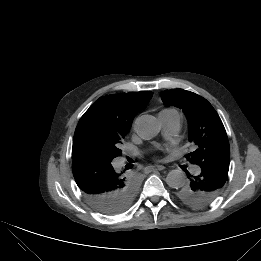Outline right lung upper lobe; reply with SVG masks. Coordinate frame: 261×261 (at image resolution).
<instances>
[{"label": "right lung upper lobe", "instance_id": "cb5924a9", "mask_svg": "<svg viewBox=\"0 0 261 261\" xmlns=\"http://www.w3.org/2000/svg\"><path fill=\"white\" fill-rule=\"evenodd\" d=\"M152 92L111 94L97 99L81 118L107 127L129 130L135 114L151 99Z\"/></svg>", "mask_w": 261, "mask_h": 261}]
</instances>
